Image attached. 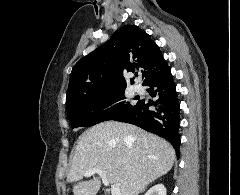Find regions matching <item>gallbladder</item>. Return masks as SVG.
<instances>
[{"label": "gallbladder", "instance_id": "gallbladder-1", "mask_svg": "<svg viewBox=\"0 0 240 195\" xmlns=\"http://www.w3.org/2000/svg\"><path fill=\"white\" fill-rule=\"evenodd\" d=\"M104 194H105V195H110L108 190H105V191H104Z\"/></svg>", "mask_w": 240, "mask_h": 195}]
</instances>
